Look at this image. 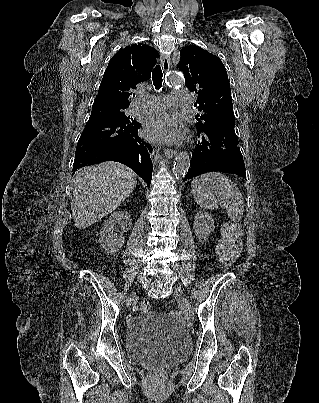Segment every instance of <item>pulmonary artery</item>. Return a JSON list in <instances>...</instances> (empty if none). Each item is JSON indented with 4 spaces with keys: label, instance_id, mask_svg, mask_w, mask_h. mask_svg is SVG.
<instances>
[{
    "label": "pulmonary artery",
    "instance_id": "obj_1",
    "mask_svg": "<svg viewBox=\"0 0 319 403\" xmlns=\"http://www.w3.org/2000/svg\"><path fill=\"white\" fill-rule=\"evenodd\" d=\"M191 94L186 90H174L170 97L146 95L141 96L138 101L130 107L131 113H145L150 111H158L169 104L179 107H187Z\"/></svg>",
    "mask_w": 319,
    "mask_h": 403
}]
</instances>
